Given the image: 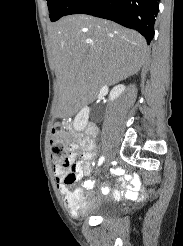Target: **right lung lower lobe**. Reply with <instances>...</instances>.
<instances>
[{"label": "right lung lower lobe", "instance_id": "obj_1", "mask_svg": "<svg viewBox=\"0 0 183 246\" xmlns=\"http://www.w3.org/2000/svg\"><path fill=\"white\" fill-rule=\"evenodd\" d=\"M159 0H76L65 15L88 14L134 29L150 44Z\"/></svg>", "mask_w": 183, "mask_h": 246}]
</instances>
